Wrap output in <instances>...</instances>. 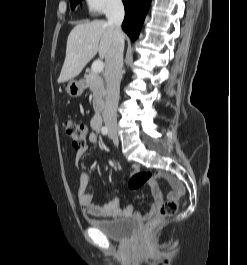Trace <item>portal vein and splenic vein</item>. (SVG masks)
Wrapping results in <instances>:
<instances>
[{
	"label": "portal vein and splenic vein",
	"mask_w": 247,
	"mask_h": 265,
	"mask_svg": "<svg viewBox=\"0 0 247 265\" xmlns=\"http://www.w3.org/2000/svg\"><path fill=\"white\" fill-rule=\"evenodd\" d=\"M104 64L101 60L94 61L92 64V72L94 73H100L103 71Z\"/></svg>",
	"instance_id": "18ae733b"
}]
</instances>
